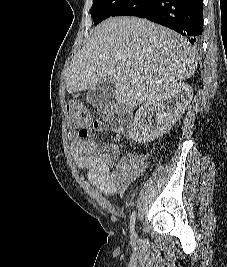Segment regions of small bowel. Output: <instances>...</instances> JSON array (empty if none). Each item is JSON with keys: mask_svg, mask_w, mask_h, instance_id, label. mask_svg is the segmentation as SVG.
<instances>
[{"mask_svg": "<svg viewBox=\"0 0 227 267\" xmlns=\"http://www.w3.org/2000/svg\"><path fill=\"white\" fill-rule=\"evenodd\" d=\"M106 130L121 132L115 125L106 126L100 121L79 127L78 131L70 132L72 158L80 169L84 170L88 182L97 187L102 193L109 194L110 190L133 180L141 174L144 161L138 158L130 159L114 171L110 170L107 151L102 153L98 144L89 139L93 132L102 133Z\"/></svg>", "mask_w": 227, "mask_h": 267, "instance_id": "1", "label": "small bowel"}]
</instances>
